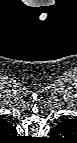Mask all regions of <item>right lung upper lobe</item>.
Instances as JSON below:
<instances>
[{"instance_id":"obj_1","label":"right lung upper lobe","mask_w":77,"mask_h":143,"mask_svg":"<svg viewBox=\"0 0 77 143\" xmlns=\"http://www.w3.org/2000/svg\"><path fill=\"white\" fill-rule=\"evenodd\" d=\"M0 124H1L2 130L6 131V132H9V133H15L16 132V130L12 126V124H10L9 122H7L6 120L1 119V123Z\"/></svg>"}]
</instances>
